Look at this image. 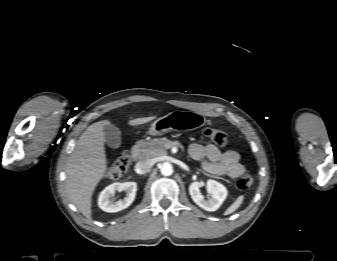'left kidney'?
<instances>
[{
  "mask_svg": "<svg viewBox=\"0 0 337 261\" xmlns=\"http://www.w3.org/2000/svg\"><path fill=\"white\" fill-rule=\"evenodd\" d=\"M201 184L192 182L189 186V193L192 200L202 209L206 211H216L227 197V189L221 183L215 180H208L207 189L210 192V198L205 200L200 192Z\"/></svg>",
  "mask_w": 337,
  "mask_h": 261,
  "instance_id": "left-kidney-1",
  "label": "left kidney"
}]
</instances>
